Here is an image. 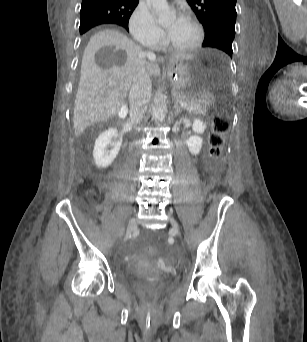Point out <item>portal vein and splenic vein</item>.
I'll return each instance as SVG.
<instances>
[{"mask_svg":"<svg viewBox=\"0 0 307 342\" xmlns=\"http://www.w3.org/2000/svg\"><path fill=\"white\" fill-rule=\"evenodd\" d=\"M108 86H111V88H112V86H116V84H115V82H108ZM182 107L185 108V109H190L191 108L189 104H185Z\"/></svg>","mask_w":307,"mask_h":342,"instance_id":"1","label":"portal vein and splenic vein"}]
</instances>
